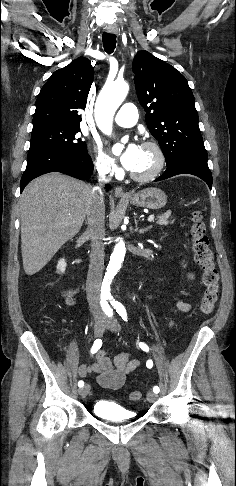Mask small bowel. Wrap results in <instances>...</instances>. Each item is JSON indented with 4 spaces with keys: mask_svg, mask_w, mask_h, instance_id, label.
I'll return each mask as SVG.
<instances>
[{
    "mask_svg": "<svg viewBox=\"0 0 236 486\" xmlns=\"http://www.w3.org/2000/svg\"><path fill=\"white\" fill-rule=\"evenodd\" d=\"M189 280L194 278V273L187 274ZM78 292L77 288L63 290L62 296L66 306H72L75 302L74 296ZM191 305L184 301H178L175 305V312H187ZM171 323V322H170ZM139 365L138 360L133 359L129 352H122L114 359H110L103 351L96 354V361L92 364H82L78 372L81 377H86L91 373H97V382L100 386L108 389L117 390L125 382L126 376L135 370Z\"/></svg>",
    "mask_w": 236,
    "mask_h": 486,
    "instance_id": "small-bowel-1",
    "label": "small bowel"
}]
</instances>
